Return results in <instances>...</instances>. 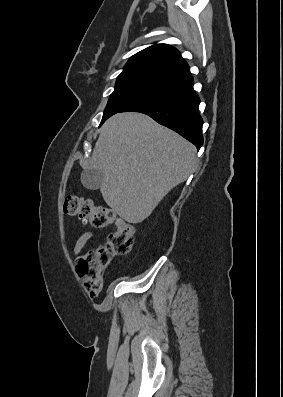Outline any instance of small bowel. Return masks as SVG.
<instances>
[{"mask_svg": "<svg viewBox=\"0 0 283 397\" xmlns=\"http://www.w3.org/2000/svg\"><path fill=\"white\" fill-rule=\"evenodd\" d=\"M94 233L91 231L81 234L75 242L73 252L75 256H79L88 241L94 238Z\"/></svg>", "mask_w": 283, "mask_h": 397, "instance_id": "small-bowel-1", "label": "small bowel"}]
</instances>
